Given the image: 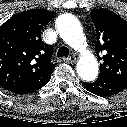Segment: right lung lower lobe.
I'll list each match as a JSON object with an SVG mask.
<instances>
[{
    "instance_id": "98d812e1",
    "label": "right lung lower lobe",
    "mask_w": 127,
    "mask_h": 127,
    "mask_svg": "<svg viewBox=\"0 0 127 127\" xmlns=\"http://www.w3.org/2000/svg\"><path fill=\"white\" fill-rule=\"evenodd\" d=\"M49 79L45 83H43L41 85H37V86H33V87H16V88L12 87V88H6V90L11 91V92H14V93H18V94L30 93V92H33V91L41 88L45 84H47L48 81H49Z\"/></svg>"
}]
</instances>
